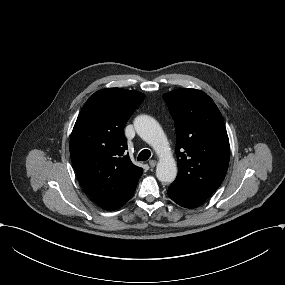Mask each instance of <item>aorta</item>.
Segmentation results:
<instances>
[{
    "mask_svg": "<svg viewBox=\"0 0 285 285\" xmlns=\"http://www.w3.org/2000/svg\"><path fill=\"white\" fill-rule=\"evenodd\" d=\"M137 134L150 146L159 156L156 167V176L163 183H171L177 176V165L171 154L168 140L159 123L148 115L137 116L134 120Z\"/></svg>",
    "mask_w": 285,
    "mask_h": 285,
    "instance_id": "762f6f07",
    "label": "aorta"
}]
</instances>
